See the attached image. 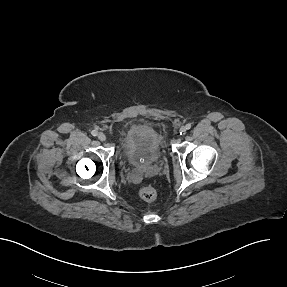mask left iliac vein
<instances>
[{
  "mask_svg": "<svg viewBox=\"0 0 287 287\" xmlns=\"http://www.w3.org/2000/svg\"><path fill=\"white\" fill-rule=\"evenodd\" d=\"M180 132H181V133H185V132H186L185 126H182V127L180 128Z\"/></svg>",
  "mask_w": 287,
  "mask_h": 287,
  "instance_id": "left-iliac-vein-1",
  "label": "left iliac vein"
}]
</instances>
